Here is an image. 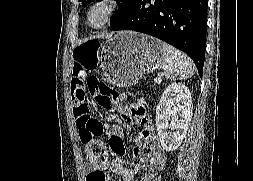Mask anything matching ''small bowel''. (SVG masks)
<instances>
[{"instance_id": "1", "label": "small bowel", "mask_w": 253, "mask_h": 181, "mask_svg": "<svg viewBox=\"0 0 253 181\" xmlns=\"http://www.w3.org/2000/svg\"><path fill=\"white\" fill-rule=\"evenodd\" d=\"M91 69L83 64L75 63L72 71L71 93L73 99V112L76 115L75 107L78 97L86 91L87 83L90 78ZM125 96L117 100V107L120 117L112 123L109 133L110 145L115 153V158L106 159L101 167H92L89 163L85 166L87 181H112L108 172L121 176L122 181H134L140 171H144L139 181H153L159 171L167 162L165 152L161 148L156 135L152 133L150 121L145 116L143 103L137 102L132 106L123 105ZM126 123L140 127V132L135 140L132 149L134 157H140L142 149L147 147V153L141 156L140 163L134 168H127L123 165L120 157L124 153V146L121 141Z\"/></svg>"}]
</instances>
